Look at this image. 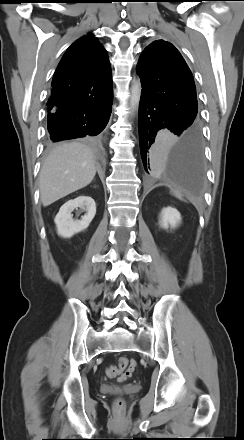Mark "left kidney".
Instances as JSON below:
<instances>
[{
  "mask_svg": "<svg viewBox=\"0 0 244 440\" xmlns=\"http://www.w3.org/2000/svg\"><path fill=\"white\" fill-rule=\"evenodd\" d=\"M181 222V215L177 209L166 207L161 212L160 226L164 229L175 228Z\"/></svg>",
  "mask_w": 244,
  "mask_h": 440,
  "instance_id": "left-kidney-1",
  "label": "left kidney"
}]
</instances>
